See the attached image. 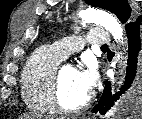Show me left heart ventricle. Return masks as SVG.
Segmentation results:
<instances>
[{"label": "left heart ventricle", "mask_w": 142, "mask_h": 119, "mask_svg": "<svg viewBox=\"0 0 142 119\" xmlns=\"http://www.w3.org/2000/svg\"><path fill=\"white\" fill-rule=\"evenodd\" d=\"M89 95L79 84L76 70L70 66L62 69L60 98L66 107L82 103Z\"/></svg>", "instance_id": "1"}]
</instances>
